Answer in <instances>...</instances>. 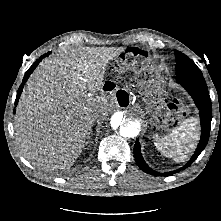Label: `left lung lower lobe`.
Returning a JSON list of instances; mask_svg holds the SVG:
<instances>
[{"instance_id": "0a47b994", "label": "left lung lower lobe", "mask_w": 221, "mask_h": 221, "mask_svg": "<svg viewBox=\"0 0 221 221\" xmlns=\"http://www.w3.org/2000/svg\"><path fill=\"white\" fill-rule=\"evenodd\" d=\"M177 81L191 95L196 106L199 108V115L201 121V139L194 155L191 157V159L188 161L187 164H185L183 167H181L178 170L163 174L152 170L145 163L141 154L140 143L139 140L137 139L134 146L135 161L141 170L151 175L169 176L189 167L197 159L200 153L204 150L209 139L212 112H211V100L204 77L202 75H183V76H177Z\"/></svg>"}]
</instances>
